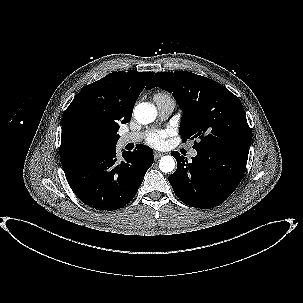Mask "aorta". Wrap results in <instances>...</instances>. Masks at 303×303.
I'll list each match as a JSON object with an SVG mask.
<instances>
[{"label": "aorta", "mask_w": 303, "mask_h": 303, "mask_svg": "<svg viewBox=\"0 0 303 303\" xmlns=\"http://www.w3.org/2000/svg\"><path fill=\"white\" fill-rule=\"evenodd\" d=\"M134 116L141 124H149L156 119L157 110L149 103H140L134 109ZM175 168V160L172 156H163L159 162V169L162 172H172Z\"/></svg>", "instance_id": "1"}]
</instances>
